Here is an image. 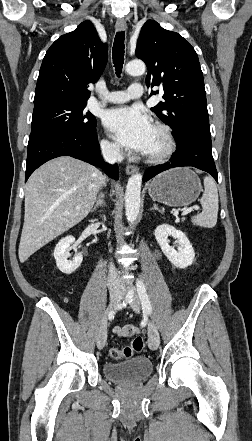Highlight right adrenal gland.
Listing matches in <instances>:
<instances>
[{
    "label": "right adrenal gland",
    "instance_id": "1",
    "mask_svg": "<svg viewBox=\"0 0 252 441\" xmlns=\"http://www.w3.org/2000/svg\"><path fill=\"white\" fill-rule=\"evenodd\" d=\"M104 197H105L104 194L101 193L98 200L96 201L95 206L91 210V212H95L97 210V208L105 206Z\"/></svg>",
    "mask_w": 252,
    "mask_h": 441
}]
</instances>
